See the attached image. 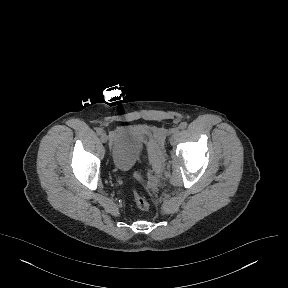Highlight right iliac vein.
I'll use <instances>...</instances> for the list:
<instances>
[{
  "mask_svg": "<svg viewBox=\"0 0 288 288\" xmlns=\"http://www.w3.org/2000/svg\"><path fill=\"white\" fill-rule=\"evenodd\" d=\"M100 138H101V141H102L103 143H106L107 140H108V137H107L106 133H102L101 136H100Z\"/></svg>",
  "mask_w": 288,
  "mask_h": 288,
  "instance_id": "obj_1",
  "label": "right iliac vein"
}]
</instances>
